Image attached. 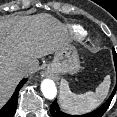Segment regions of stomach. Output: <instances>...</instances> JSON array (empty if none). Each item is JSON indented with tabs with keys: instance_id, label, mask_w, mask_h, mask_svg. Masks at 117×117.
I'll use <instances>...</instances> for the list:
<instances>
[{
	"instance_id": "stomach-1",
	"label": "stomach",
	"mask_w": 117,
	"mask_h": 117,
	"mask_svg": "<svg viewBox=\"0 0 117 117\" xmlns=\"http://www.w3.org/2000/svg\"><path fill=\"white\" fill-rule=\"evenodd\" d=\"M80 61L76 49L70 45L61 47L54 56L53 62L47 68L57 74H74L80 70Z\"/></svg>"
}]
</instances>
